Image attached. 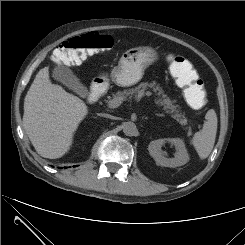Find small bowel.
<instances>
[{"label": "small bowel", "instance_id": "c3829d8e", "mask_svg": "<svg viewBox=\"0 0 245 245\" xmlns=\"http://www.w3.org/2000/svg\"><path fill=\"white\" fill-rule=\"evenodd\" d=\"M185 60H186V65H185V67L183 69V73L186 76H193L195 78L198 77L196 71L194 70V68L192 67L190 62L187 59H185Z\"/></svg>", "mask_w": 245, "mask_h": 245}]
</instances>
